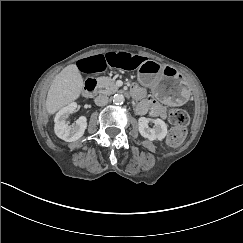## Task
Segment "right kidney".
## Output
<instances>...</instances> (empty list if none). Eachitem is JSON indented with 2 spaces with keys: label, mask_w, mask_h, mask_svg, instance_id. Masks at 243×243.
<instances>
[{
  "label": "right kidney",
  "mask_w": 243,
  "mask_h": 243,
  "mask_svg": "<svg viewBox=\"0 0 243 243\" xmlns=\"http://www.w3.org/2000/svg\"><path fill=\"white\" fill-rule=\"evenodd\" d=\"M77 108V103L72 102L66 107L59 110L54 118V131L55 134L62 140L66 142H73L81 138L87 128V119L85 116L79 117L75 124L69 126L66 123V119L70 114L75 112Z\"/></svg>",
  "instance_id": "right-kidney-1"
}]
</instances>
